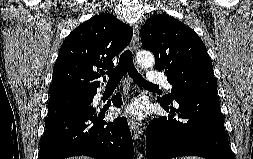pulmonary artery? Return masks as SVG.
<instances>
[{"instance_id": "e3ab8cb5", "label": "pulmonary artery", "mask_w": 253, "mask_h": 159, "mask_svg": "<svg viewBox=\"0 0 253 159\" xmlns=\"http://www.w3.org/2000/svg\"><path fill=\"white\" fill-rule=\"evenodd\" d=\"M146 77V81L152 85H162L167 90L172 89V84L167 80L164 72L151 70L147 73Z\"/></svg>"}]
</instances>
